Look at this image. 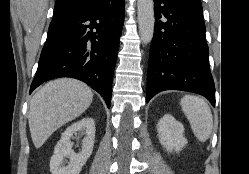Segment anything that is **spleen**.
I'll return each instance as SVG.
<instances>
[{
	"mask_svg": "<svg viewBox=\"0 0 249 174\" xmlns=\"http://www.w3.org/2000/svg\"><path fill=\"white\" fill-rule=\"evenodd\" d=\"M181 107L196 138L205 142L213 127V116L207 102L201 97L186 95L181 99Z\"/></svg>",
	"mask_w": 249,
	"mask_h": 174,
	"instance_id": "spleen-1",
	"label": "spleen"
}]
</instances>
